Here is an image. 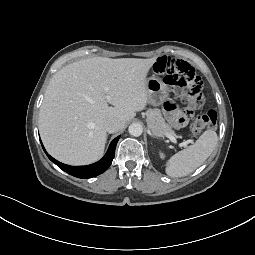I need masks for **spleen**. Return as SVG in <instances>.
<instances>
[{"label": "spleen", "mask_w": 255, "mask_h": 255, "mask_svg": "<svg viewBox=\"0 0 255 255\" xmlns=\"http://www.w3.org/2000/svg\"><path fill=\"white\" fill-rule=\"evenodd\" d=\"M218 136L206 130L198 140L186 149L174 154L166 164V173L171 177H183L201 166L217 146Z\"/></svg>", "instance_id": "spleen-1"}]
</instances>
